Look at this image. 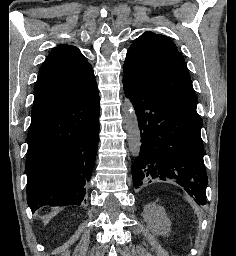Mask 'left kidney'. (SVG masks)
Here are the masks:
<instances>
[{
	"mask_svg": "<svg viewBox=\"0 0 236 256\" xmlns=\"http://www.w3.org/2000/svg\"><path fill=\"white\" fill-rule=\"evenodd\" d=\"M144 220L147 222V228L152 230L156 236H167L170 228V220L164 208L157 206L156 202H151L144 208Z\"/></svg>",
	"mask_w": 236,
	"mask_h": 256,
	"instance_id": "left-kidney-1",
	"label": "left kidney"
}]
</instances>
